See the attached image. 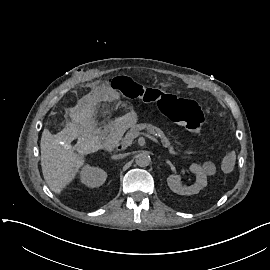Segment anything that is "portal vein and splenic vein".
Masks as SVG:
<instances>
[{
	"instance_id": "obj_1",
	"label": "portal vein and splenic vein",
	"mask_w": 270,
	"mask_h": 270,
	"mask_svg": "<svg viewBox=\"0 0 270 270\" xmlns=\"http://www.w3.org/2000/svg\"><path fill=\"white\" fill-rule=\"evenodd\" d=\"M143 136H146L147 138L153 139L154 141H157V138L155 136H150L148 133H143ZM159 144V143H157Z\"/></svg>"
}]
</instances>
